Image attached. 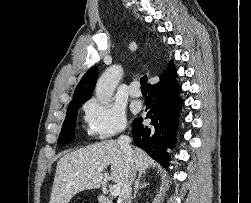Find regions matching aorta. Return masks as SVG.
<instances>
[{"label": "aorta", "mask_w": 251, "mask_h": 203, "mask_svg": "<svg viewBox=\"0 0 251 203\" xmlns=\"http://www.w3.org/2000/svg\"><path fill=\"white\" fill-rule=\"evenodd\" d=\"M123 76V68L120 65L110 66L98 79L95 94L102 104L111 102L113 93Z\"/></svg>", "instance_id": "1"}]
</instances>
